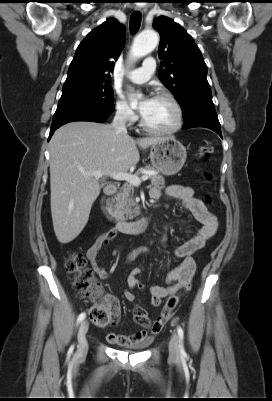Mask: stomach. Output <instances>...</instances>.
Segmentation results:
<instances>
[{"instance_id": "stomach-1", "label": "stomach", "mask_w": 272, "mask_h": 401, "mask_svg": "<svg viewBox=\"0 0 272 401\" xmlns=\"http://www.w3.org/2000/svg\"><path fill=\"white\" fill-rule=\"evenodd\" d=\"M187 153L186 148L173 136L162 137L151 146L150 159L152 166L163 175H174L181 170Z\"/></svg>"}]
</instances>
